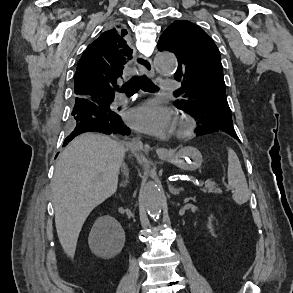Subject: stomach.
I'll return each mask as SVG.
<instances>
[{
  "label": "stomach",
  "mask_w": 293,
  "mask_h": 293,
  "mask_svg": "<svg viewBox=\"0 0 293 293\" xmlns=\"http://www.w3.org/2000/svg\"><path fill=\"white\" fill-rule=\"evenodd\" d=\"M165 159L176 167L186 171L198 169L203 161L201 152L192 146L183 147Z\"/></svg>",
  "instance_id": "stomach-1"
}]
</instances>
